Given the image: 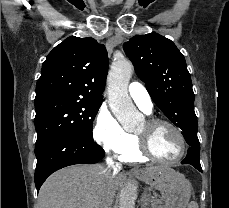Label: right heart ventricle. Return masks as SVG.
Masks as SVG:
<instances>
[{
  "instance_id": "right-heart-ventricle-1",
  "label": "right heart ventricle",
  "mask_w": 229,
  "mask_h": 208,
  "mask_svg": "<svg viewBox=\"0 0 229 208\" xmlns=\"http://www.w3.org/2000/svg\"><path fill=\"white\" fill-rule=\"evenodd\" d=\"M135 139L137 142L136 148L133 151L125 153L122 155V157L126 160H138V159L143 158V153H140V148H138L139 140L136 137H135Z\"/></svg>"
}]
</instances>
